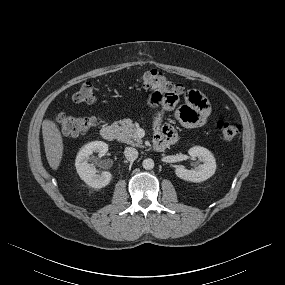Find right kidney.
<instances>
[{
	"label": "right kidney",
	"mask_w": 285,
	"mask_h": 285,
	"mask_svg": "<svg viewBox=\"0 0 285 285\" xmlns=\"http://www.w3.org/2000/svg\"><path fill=\"white\" fill-rule=\"evenodd\" d=\"M108 145L102 141H93L84 145L78 152L75 160V167L80 178L93 188L107 186L113 178L110 172L103 171L101 174L89 163L91 155L98 152L99 157L106 155Z\"/></svg>",
	"instance_id": "1"
}]
</instances>
